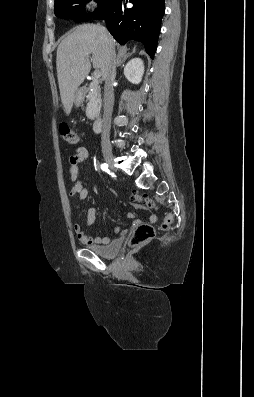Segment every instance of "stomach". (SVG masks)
<instances>
[{
    "instance_id": "1",
    "label": "stomach",
    "mask_w": 254,
    "mask_h": 397,
    "mask_svg": "<svg viewBox=\"0 0 254 397\" xmlns=\"http://www.w3.org/2000/svg\"><path fill=\"white\" fill-rule=\"evenodd\" d=\"M84 100V95L83 91L81 89H78L75 93V98H74V103L75 105L79 106Z\"/></svg>"
}]
</instances>
